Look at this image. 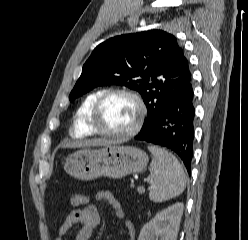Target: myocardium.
<instances>
[{"label":"myocardium","mask_w":248,"mask_h":240,"mask_svg":"<svg viewBox=\"0 0 248 240\" xmlns=\"http://www.w3.org/2000/svg\"><path fill=\"white\" fill-rule=\"evenodd\" d=\"M114 95L128 96L135 102L137 106L138 115H137L136 121L129 130L124 131V132L106 131V130H103L99 126V118H100L101 109L105 101ZM146 113H147L146 105L139 93H137L134 90L128 89V88H113V89L104 91L96 100L92 108V111H91L90 124H91L93 131L98 135L109 137V138H128V137H132L136 135L141 130L145 117H146Z\"/></svg>","instance_id":"obj_1"}]
</instances>
